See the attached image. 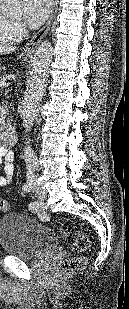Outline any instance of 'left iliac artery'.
<instances>
[{"instance_id": "1", "label": "left iliac artery", "mask_w": 129, "mask_h": 309, "mask_svg": "<svg viewBox=\"0 0 129 309\" xmlns=\"http://www.w3.org/2000/svg\"><path fill=\"white\" fill-rule=\"evenodd\" d=\"M34 167H36V166H34ZM31 188H32V186H31ZM29 207H30V210H32V211H37L38 210V205L37 204H30Z\"/></svg>"}]
</instances>
